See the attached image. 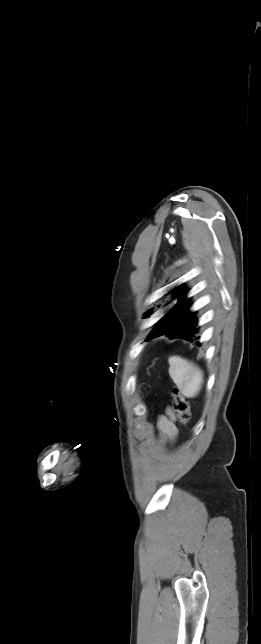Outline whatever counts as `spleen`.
<instances>
[{
    "mask_svg": "<svg viewBox=\"0 0 261 644\" xmlns=\"http://www.w3.org/2000/svg\"><path fill=\"white\" fill-rule=\"evenodd\" d=\"M168 361L169 375L181 393L188 398L197 396L203 384L202 370L180 356H171Z\"/></svg>",
    "mask_w": 261,
    "mask_h": 644,
    "instance_id": "obj_1",
    "label": "spleen"
}]
</instances>
